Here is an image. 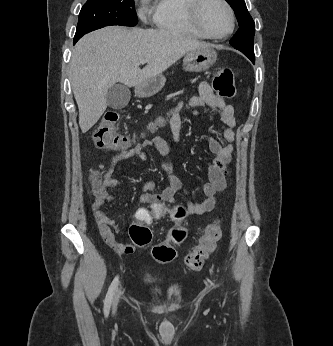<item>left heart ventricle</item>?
Masks as SVG:
<instances>
[{"instance_id": "left-heart-ventricle-1", "label": "left heart ventricle", "mask_w": 333, "mask_h": 346, "mask_svg": "<svg viewBox=\"0 0 333 346\" xmlns=\"http://www.w3.org/2000/svg\"><path fill=\"white\" fill-rule=\"evenodd\" d=\"M202 21L206 29L216 35L230 28V18L225 7L217 0H209L202 10Z\"/></svg>"}]
</instances>
